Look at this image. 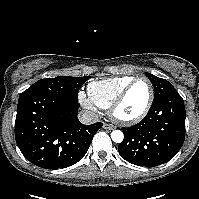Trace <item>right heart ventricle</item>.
<instances>
[{
  "instance_id": "right-heart-ventricle-1",
  "label": "right heart ventricle",
  "mask_w": 199,
  "mask_h": 199,
  "mask_svg": "<svg viewBox=\"0 0 199 199\" xmlns=\"http://www.w3.org/2000/svg\"><path fill=\"white\" fill-rule=\"evenodd\" d=\"M133 79L131 76H122L93 81L88 85V96L97 107L108 109Z\"/></svg>"
}]
</instances>
